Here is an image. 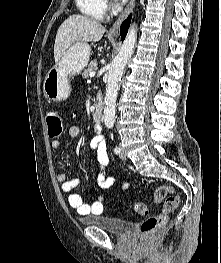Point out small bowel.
<instances>
[{
  "label": "small bowel",
  "mask_w": 221,
  "mask_h": 263,
  "mask_svg": "<svg viewBox=\"0 0 221 263\" xmlns=\"http://www.w3.org/2000/svg\"><path fill=\"white\" fill-rule=\"evenodd\" d=\"M67 134L71 138H76L80 134V128L76 125H71L67 129ZM60 147L61 144L58 140H53L51 142V148L53 151H58ZM90 148L98 163L96 182L100 188L108 189L114 184L115 178L113 176H108L106 173V167L109 164V155L104 138L100 134H95L90 141ZM57 181L61 185L62 192L67 194L69 205L76 209L80 215H99L103 212L104 204L101 196L91 204H86L83 202L81 195L74 192V190L80 185L79 179H69L65 173H58ZM128 185V182H125L123 188H127Z\"/></svg>",
  "instance_id": "1"
}]
</instances>
